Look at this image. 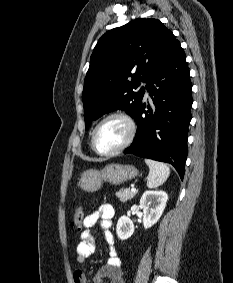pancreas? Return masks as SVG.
<instances>
[{
    "instance_id": "1",
    "label": "pancreas",
    "mask_w": 233,
    "mask_h": 283,
    "mask_svg": "<svg viewBox=\"0 0 233 283\" xmlns=\"http://www.w3.org/2000/svg\"><path fill=\"white\" fill-rule=\"evenodd\" d=\"M136 195V192H132L129 188L121 189L116 192V196L120 199L121 202H126L132 199Z\"/></svg>"
}]
</instances>
